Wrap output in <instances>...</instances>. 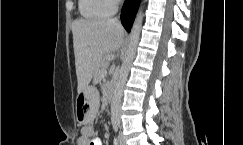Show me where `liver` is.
Listing matches in <instances>:
<instances>
[{"label": "liver", "instance_id": "obj_1", "mask_svg": "<svg viewBox=\"0 0 243 145\" xmlns=\"http://www.w3.org/2000/svg\"><path fill=\"white\" fill-rule=\"evenodd\" d=\"M72 33L80 93L89 85L105 56L120 49L125 31L114 19H76Z\"/></svg>", "mask_w": 243, "mask_h": 145}]
</instances>
